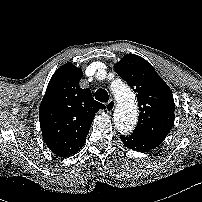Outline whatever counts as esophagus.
<instances>
[{
  "mask_svg": "<svg viewBox=\"0 0 202 202\" xmlns=\"http://www.w3.org/2000/svg\"><path fill=\"white\" fill-rule=\"evenodd\" d=\"M115 107H116V101L114 99H111L106 103L107 112L113 111Z\"/></svg>",
  "mask_w": 202,
  "mask_h": 202,
  "instance_id": "34e87169",
  "label": "esophagus"
}]
</instances>
